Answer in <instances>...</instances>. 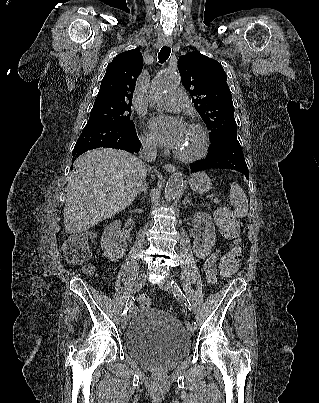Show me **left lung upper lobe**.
<instances>
[{
    "label": "left lung upper lobe",
    "mask_w": 319,
    "mask_h": 403,
    "mask_svg": "<svg viewBox=\"0 0 319 403\" xmlns=\"http://www.w3.org/2000/svg\"><path fill=\"white\" fill-rule=\"evenodd\" d=\"M183 86L192 95V102L207 128L215 150L237 139L232 95L222 65L200 52L193 51L178 60Z\"/></svg>",
    "instance_id": "1"
}]
</instances>
